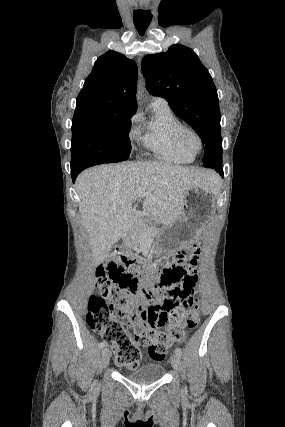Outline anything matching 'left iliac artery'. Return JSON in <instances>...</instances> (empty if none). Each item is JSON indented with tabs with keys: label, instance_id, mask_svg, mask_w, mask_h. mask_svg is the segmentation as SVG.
<instances>
[{
	"label": "left iliac artery",
	"instance_id": "1",
	"mask_svg": "<svg viewBox=\"0 0 285 427\" xmlns=\"http://www.w3.org/2000/svg\"><path fill=\"white\" fill-rule=\"evenodd\" d=\"M175 352L179 355V357L182 356V350L180 348H176Z\"/></svg>",
	"mask_w": 285,
	"mask_h": 427
}]
</instances>
